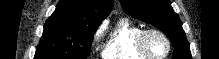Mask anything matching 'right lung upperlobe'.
<instances>
[{"instance_id":"obj_1","label":"right lung upper lobe","mask_w":219,"mask_h":59,"mask_svg":"<svg viewBox=\"0 0 219 59\" xmlns=\"http://www.w3.org/2000/svg\"><path fill=\"white\" fill-rule=\"evenodd\" d=\"M113 0H60L50 21L100 25L111 12Z\"/></svg>"}]
</instances>
